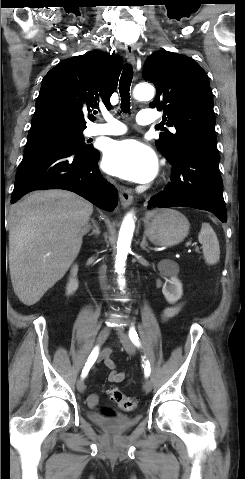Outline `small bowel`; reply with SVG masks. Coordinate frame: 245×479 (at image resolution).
<instances>
[{
  "label": "small bowel",
  "instance_id": "obj_1",
  "mask_svg": "<svg viewBox=\"0 0 245 479\" xmlns=\"http://www.w3.org/2000/svg\"><path fill=\"white\" fill-rule=\"evenodd\" d=\"M181 309V305L167 307L162 310L161 316L164 320L170 319L174 317ZM111 351L106 349L100 355V360H102L105 365L111 369V372L108 376V380L111 383H120L126 378V374L116 370V365L114 361L111 359ZM88 405L90 407H95L98 403V397L95 394L89 395L87 399Z\"/></svg>",
  "mask_w": 245,
  "mask_h": 479
}]
</instances>
